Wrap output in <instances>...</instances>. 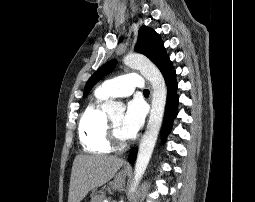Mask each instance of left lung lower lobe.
<instances>
[{"mask_svg":"<svg viewBox=\"0 0 255 202\" xmlns=\"http://www.w3.org/2000/svg\"><path fill=\"white\" fill-rule=\"evenodd\" d=\"M176 73L173 74L170 78H168L165 82L168 88V94H167V104H166V110H165V116H164V123L162 128V140L166 138L168 133L171 130L173 119L177 116V105H178V96L176 94L178 84L176 82ZM137 150L134 149L131 154L129 155V161L131 163H134V160L136 158Z\"/></svg>","mask_w":255,"mask_h":202,"instance_id":"1","label":"left lung lower lobe"}]
</instances>
